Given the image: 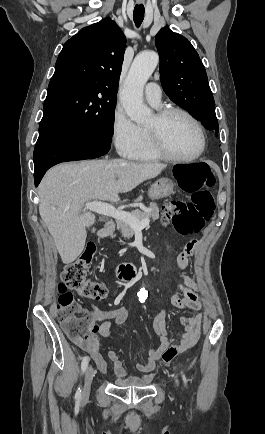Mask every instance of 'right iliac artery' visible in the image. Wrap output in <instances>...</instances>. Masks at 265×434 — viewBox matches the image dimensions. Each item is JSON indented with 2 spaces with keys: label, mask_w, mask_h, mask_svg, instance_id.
<instances>
[{
  "label": "right iliac artery",
  "mask_w": 265,
  "mask_h": 434,
  "mask_svg": "<svg viewBox=\"0 0 265 434\" xmlns=\"http://www.w3.org/2000/svg\"><path fill=\"white\" fill-rule=\"evenodd\" d=\"M88 362H89V357L88 356L83 357L82 363H81L82 372H85V370H86V368L88 366ZM75 399H76L77 402H79L80 399H81V389H80V387L78 388V390H77V392L75 394Z\"/></svg>",
  "instance_id": "1"
}]
</instances>
